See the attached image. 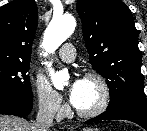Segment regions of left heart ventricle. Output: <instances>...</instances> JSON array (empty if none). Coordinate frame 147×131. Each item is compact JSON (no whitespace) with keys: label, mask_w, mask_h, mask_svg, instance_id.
Listing matches in <instances>:
<instances>
[{"label":"left heart ventricle","mask_w":147,"mask_h":131,"mask_svg":"<svg viewBox=\"0 0 147 131\" xmlns=\"http://www.w3.org/2000/svg\"><path fill=\"white\" fill-rule=\"evenodd\" d=\"M84 80V90L77 108L80 110H90L98 104L100 100V90L95 82L87 79Z\"/></svg>","instance_id":"obj_1"}]
</instances>
